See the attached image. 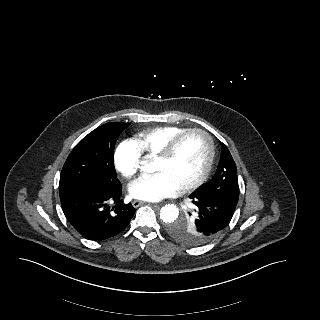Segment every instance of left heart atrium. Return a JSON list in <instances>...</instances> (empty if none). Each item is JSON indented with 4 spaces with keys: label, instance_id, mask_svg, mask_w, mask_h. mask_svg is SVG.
<instances>
[{
    "label": "left heart atrium",
    "instance_id": "left-heart-atrium-1",
    "mask_svg": "<svg viewBox=\"0 0 320 320\" xmlns=\"http://www.w3.org/2000/svg\"><path fill=\"white\" fill-rule=\"evenodd\" d=\"M179 186L166 174L156 173L150 177H141L129 187L130 195L138 200L158 201L178 193Z\"/></svg>",
    "mask_w": 320,
    "mask_h": 320
}]
</instances>
